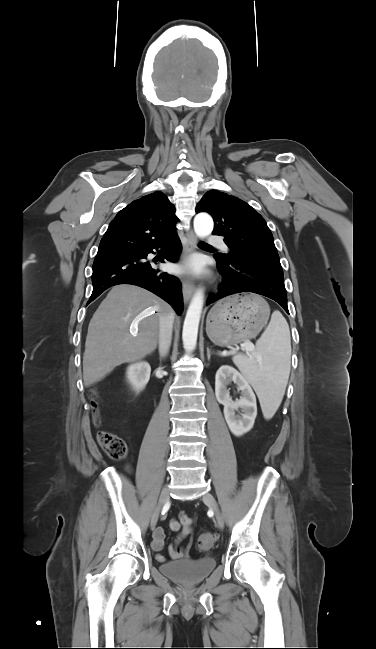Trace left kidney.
I'll use <instances>...</instances> for the list:
<instances>
[{"label": "left kidney", "instance_id": "left-kidney-1", "mask_svg": "<svg viewBox=\"0 0 376 649\" xmlns=\"http://www.w3.org/2000/svg\"><path fill=\"white\" fill-rule=\"evenodd\" d=\"M234 382L241 391L240 400L233 402L227 385ZM215 395L217 401L224 405V416L230 431L241 436L254 425L257 416L255 394L246 378L231 366H222L215 376ZM241 409L242 415H236L235 410Z\"/></svg>", "mask_w": 376, "mask_h": 649}]
</instances>
